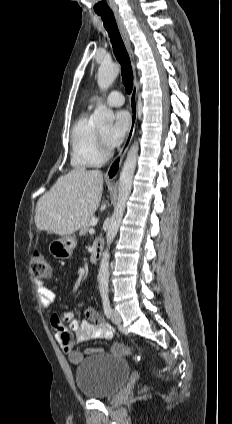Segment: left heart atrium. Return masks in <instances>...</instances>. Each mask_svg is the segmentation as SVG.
Masks as SVG:
<instances>
[{"mask_svg": "<svg viewBox=\"0 0 232 424\" xmlns=\"http://www.w3.org/2000/svg\"><path fill=\"white\" fill-rule=\"evenodd\" d=\"M131 124L130 114L125 110L118 111L115 115L113 127L107 138L108 143L111 146L120 145L128 135Z\"/></svg>", "mask_w": 232, "mask_h": 424, "instance_id": "left-heart-atrium-1", "label": "left heart atrium"}]
</instances>
